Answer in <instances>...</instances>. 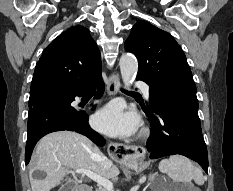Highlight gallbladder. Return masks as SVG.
<instances>
[{
  "instance_id": "bac80fb5",
  "label": "gallbladder",
  "mask_w": 233,
  "mask_h": 191,
  "mask_svg": "<svg viewBox=\"0 0 233 191\" xmlns=\"http://www.w3.org/2000/svg\"><path fill=\"white\" fill-rule=\"evenodd\" d=\"M74 185V181L68 182L67 184L62 186L59 191H73Z\"/></svg>"
}]
</instances>
